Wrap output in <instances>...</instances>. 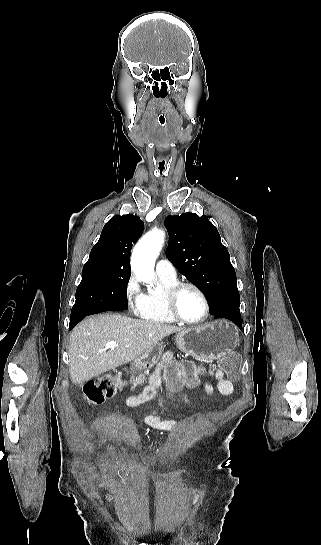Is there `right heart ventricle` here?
Here are the masks:
<instances>
[{
    "mask_svg": "<svg viewBox=\"0 0 321 545\" xmlns=\"http://www.w3.org/2000/svg\"><path fill=\"white\" fill-rule=\"evenodd\" d=\"M160 280V294L159 295H147L145 306L140 315L141 319L150 324H171L174 321L168 315L165 310L161 293L165 287H170L178 282L177 278H166L159 275Z\"/></svg>",
    "mask_w": 321,
    "mask_h": 545,
    "instance_id": "e07e8e85",
    "label": "right heart ventricle"
}]
</instances>
